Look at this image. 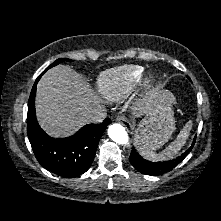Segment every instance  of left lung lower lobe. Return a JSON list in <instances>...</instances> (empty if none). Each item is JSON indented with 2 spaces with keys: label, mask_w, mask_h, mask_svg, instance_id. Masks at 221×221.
Wrapping results in <instances>:
<instances>
[{
  "label": "left lung lower lobe",
  "mask_w": 221,
  "mask_h": 221,
  "mask_svg": "<svg viewBox=\"0 0 221 221\" xmlns=\"http://www.w3.org/2000/svg\"><path fill=\"white\" fill-rule=\"evenodd\" d=\"M195 140L196 136L194 138L193 144L186 152H184L181 156L169 161H164V162L147 161L143 159L135 149H132L129 161L131 162L133 167L142 174L157 176L163 173H167L171 171L173 168H175L188 155V153L192 150Z\"/></svg>",
  "instance_id": "0a47b994"
}]
</instances>
